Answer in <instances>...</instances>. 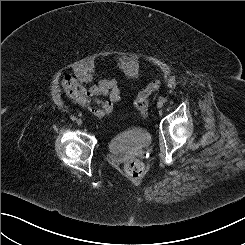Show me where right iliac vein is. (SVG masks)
Here are the masks:
<instances>
[{
	"label": "right iliac vein",
	"instance_id": "obj_1",
	"mask_svg": "<svg viewBox=\"0 0 245 245\" xmlns=\"http://www.w3.org/2000/svg\"><path fill=\"white\" fill-rule=\"evenodd\" d=\"M76 122H77L78 125H81L82 124V120L81 119H77Z\"/></svg>",
	"mask_w": 245,
	"mask_h": 245
}]
</instances>
